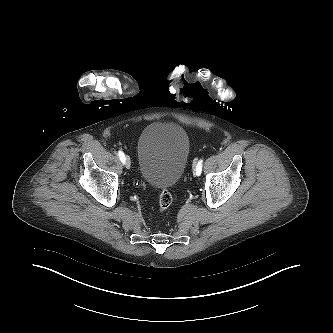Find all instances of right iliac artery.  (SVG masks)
I'll list each match as a JSON object with an SVG mask.
<instances>
[{
  "mask_svg": "<svg viewBox=\"0 0 333 333\" xmlns=\"http://www.w3.org/2000/svg\"><path fill=\"white\" fill-rule=\"evenodd\" d=\"M118 156H119L121 162L124 163L125 162V155H124V153L122 151H119L118 152Z\"/></svg>",
  "mask_w": 333,
  "mask_h": 333,
  "instance_id": "1",
  "label": "right iliac artery"
}]
</instances>
